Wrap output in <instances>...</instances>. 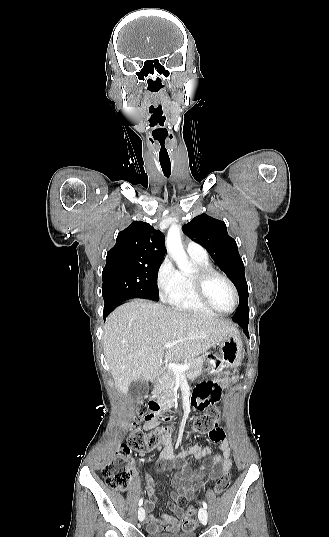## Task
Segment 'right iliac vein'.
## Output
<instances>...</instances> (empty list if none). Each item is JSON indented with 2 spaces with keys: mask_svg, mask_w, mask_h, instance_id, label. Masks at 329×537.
<instances>
[{
  "mask_svg": "<svg viewBox=\"0 0 329 537\" xmlns=\"http://www.w3.org/2000/svg\"><path fill=\"white\" fill-rule=\"evenodd\" d=\"M145 518V510L141 507L138 510V519L140 522H142Z\"/></svg>",
  "mask_w": 329,
  "mask_h": 537,
  "instance_id": "1",
  "label": "right iliac vein"
}]
</instances>
